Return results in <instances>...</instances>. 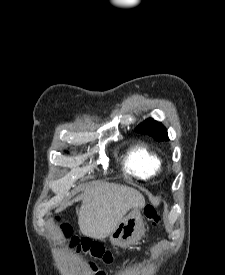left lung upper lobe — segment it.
I'll return each mask as SVG.
<instances>
[{"label": "left lung upper lobe", "instance_id": "left-lung-upper-lobe-1", "mask_svg": "<svg viewBox=\"0 0 225 275\" xmlns=\"http://www.w3.org/2000/svg\"><path fill=\"white\" fill-rule=\"evenodd\" d=\"M136 131L141 134H148L158 142L169 140L165 127L152 118H149L141 123L136 128Z\"/></svg>", "mask_w": 225, "mask_h": 275}]
</instances>
